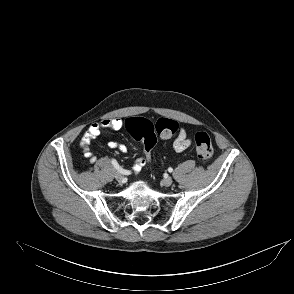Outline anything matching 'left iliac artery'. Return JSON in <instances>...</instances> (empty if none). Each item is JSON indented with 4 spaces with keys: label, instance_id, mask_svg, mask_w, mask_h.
<instances>
[{
    "label": "left iliac artery",
    "instance_id": "44dca946",
    "mask_svg": "<svg viewBox=\"0 0 294 294\" xmlns=\"http://www.w3.org/2000/svg\"><path fill=\"white\" fill-rule=\"evenodd\" d=\"M167 171H168V173L171 174V173H173L174 170H173V168L169 167Z\"/></svg>",
    "mask_w": 294,
    "mask_h": 294
}]
</instances>
